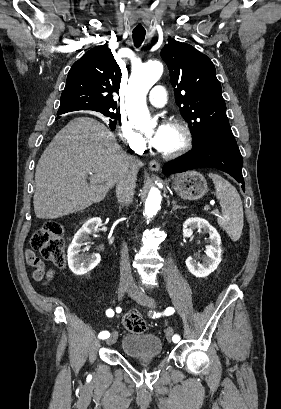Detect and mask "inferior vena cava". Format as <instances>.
<instances>
[{
	"label": "inferior vena cava",
	"mask_w": 281,
	"mask_h": 409,
	"mask_svg": "<svg viewBox=\"0 0 281 409\" xmlns=\"http://www.w3.org/2000/svg\"><path fill=\"white\" fill-rule=\"evenodd\" d=\"M137 158H127L122 166V172L117 180L116 192L117 196L121 200H129L132 194L135 192L136 186V174L138 172ZM120 279L121 281H128V283H133L131 275V267L128 257V249L126 243L122 245L121 257H120Z\"/></svg>",
	"instance_id": "1"
}]
</instances>
